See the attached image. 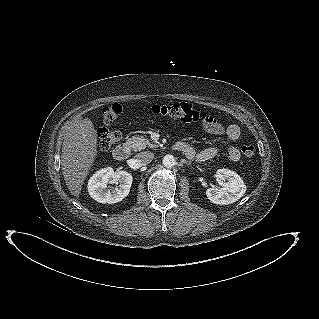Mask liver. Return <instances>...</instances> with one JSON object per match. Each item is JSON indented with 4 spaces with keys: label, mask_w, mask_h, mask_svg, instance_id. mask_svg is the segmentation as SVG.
Wrapping results in <instances>:
<instances>
[{
    "label": "liver",
    "mask_w": 319,
    "mask_h": 319,
    "mask_svg": "<svg viewBox=\"0 0 319 319\" xmlns=\"http://www.w3.org/2000/svg\"><path fill=\"white\" fill-rule=\"evenodd\" d=\"M63 139L61 166L64 180L71 194L79 197L96 157V130L90 119L78 118L67 126Z\"/></svg>",
    "instance_id": "obj_1"
}]
</instances>
